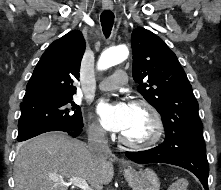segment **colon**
I'll use <instances>...</instances> for the list:
<instances>
[{"mask_svg":"<svg viewBox=\"0 0 221 190\" xmlns=\"http://www.w3.org/2000/svg\"><path fill=\"white\" fill-rule=\"evenodd\" d=\"M169 190H188V181L186 179H177L171 184Z\"/></svg>","mask_w":221,"mask_h":190,"instance_id":"obj_1","label":"colon"}]
</instances>
